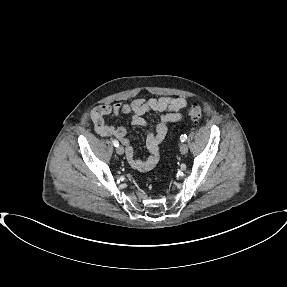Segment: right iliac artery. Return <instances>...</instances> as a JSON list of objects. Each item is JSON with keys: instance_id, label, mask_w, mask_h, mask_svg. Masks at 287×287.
Masks as SVG:
<instances>
[{"instance_id": "right-iliac-artery-1", "label": "right iliac artery", "mask_w": 287, "mask_h": 287, "mask_svg": "<svg viewBox=\"0 0 287 287\" xmlns=\"http://www.w3.org/2000/svg\"><path fill=\"white\" fill-rule=\"evenodd\" d=\"M113 145H114L115 147H118V146H119V142H118L117 140H113Z\"/></svg>"}]
</instances>
